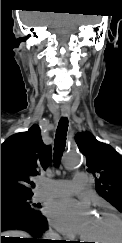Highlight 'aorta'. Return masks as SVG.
Here are the masks:
<instances>
[{
	"label": "aorta",
	"mask_w": 122,
	"mask_h": 243,
	"mask_svg": "<svg viewBox=\"0 0 122 243\" xmlns=\"http://www.w3.org/2000/svg\"><path fill=\"white\" fill-rule=\"evenodd\" d=\"M81 156L77 151H69L64 156V166L68 170L76 169L81 164Z\"/></svg>",
	"instance_id": "aorta-1"
}]
</instances>
